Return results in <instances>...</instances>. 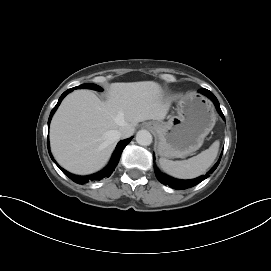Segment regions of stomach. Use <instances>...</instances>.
Listing matches in <instances>:
<instances>
[{
  "label": "stomach",
  "instance_id": "stomach-1",
  "mask_svg": "<svg viewBox=\"0 0 271 271\" xmlns=\"http://www.w3.org/2000/svg\"><path fill=\"white\" fill-rule=\"evenodd\" d=\"M215 123L211 102L197 92H189L177 102V115L150 125L158 136L157 152L161 157L184 158L203 145Z\"/></svg>",
  "mask_w": 271,
  "mask_h": 271
}]
</instances>
